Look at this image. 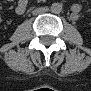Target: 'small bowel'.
Returning a JSON list of instances; mask_svg holds the SVG:
<instances>
[{
  "label": "small bowel",
  "mask_w": 91,
  "mask_h": 91,
  "mask_svg": "<svg viewBox=\"0 0 91 91\" xmlns=\"http://www.w3.org/2000/svg\"><path fill=\"white\" fill-rule=\"evenodd\" d=\"M26 8H27V1L26 0H19L16 5V12L19 14H22L25 12ZM74 14H77V12L75 11Z\"/></svg>",
  "instance_id": "1"
}]
</instances>
